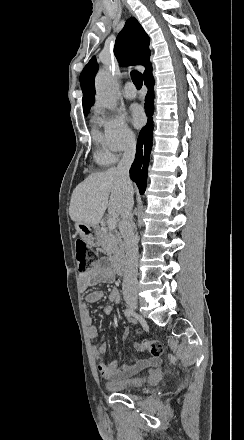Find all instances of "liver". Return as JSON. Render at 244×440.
<instances>
[{
	"instance_id": "obj_1",
	"label": "liver",
	"mask_w": 244,
	"mask_h": 440,
	"mask_svg": "<svg viewBox=\"0 0 244 440\" xmlns=\"http://www.w3.org/2000/svg\"><path fill=\"white\" fill-rule=\"evenodd\" d=\"M125 198L126 192L116 168L90 174L76 186L71 196L69 216L73 222L98 226L107 208L112 218L120 216Z\"/></svg>"
}]
</instances>
